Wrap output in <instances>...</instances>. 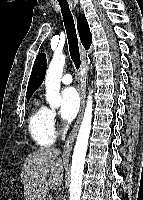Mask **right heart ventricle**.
<instances>
[{
    "mask_svg": "<svg viewBox=\"0 0 143 200\" xmlns=\"http://www.w3.org/2000/svg\"><path fill=\"white\" fill-rule=\"evenodd\" d=\"M28 128L33 141L40 147H49L55 141V135L49 125L48 108L39 101L33 103L28 120Z\"/></svg>",
    "mask_w": 143,
    "mask_h": 200,
    "instance_id": "right-heart-ventricle-1",
    "label": "right heart ventricle"
}]
</instances>
